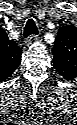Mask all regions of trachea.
<instances>
[{"label":"trachea","mask_w":77,"mask_h":125,"mask_svg":"<svg viewBox=\"0 0 77 125\" xmlns=\"http://www.w3.org/2000/svg\"><path fill=\"white\" fill-rule=\"evenodd\" d=\"M37 34H38V28L36 26L35 21L33 19H29L24 28V37L27 38L30 35H37Z\"/></svg>","instance_id":"3493384b"}]
</instances>
